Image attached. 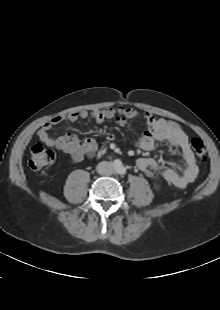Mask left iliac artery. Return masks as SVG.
Here are the masks:
<instances>
[{
  "label": "left iliac artery",
  "mask_w": 220,
  "mask_h": 310,
  "mask_svg": "<svg viewBox=\"0 0 220 310\" xmlns=\"http://www.w3.org/2000/svg\"><path fill=\"white\" fill-rule=\"evenodd\" d=\"M117 172L120 174V175H125L126 174V169L121 166L118 168Z\"/></svg>",
  "instance_id": "1"
}]
</instances>
